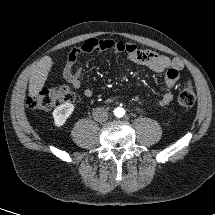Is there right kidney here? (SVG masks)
<instances>
[{"label":"right kidney","mask_w":215,"mask_h":215,"mask_svg":"<svg viewBox=\"0 0 215 215\" xmlns=\"http://www.w3.org/2000/svg\"><path fill=\"white\" fill-rule=\"evenodd\" d=\"M74 111V105L71 103H64L56 107L53 111L54 124L56 127L63 126L67 119Z\"/></svg>","instance_id":"1"}]
</instances>
